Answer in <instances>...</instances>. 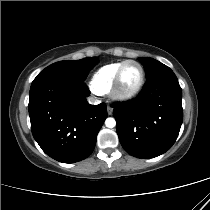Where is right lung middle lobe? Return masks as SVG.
Listing matches in <instances>:
<instances>
[{
    "label": "right lung middle lobe",
    "mask_w": 210,
    "mask_h": 210,
    "mask_svg": "<svg viewBox=\"0 0 210 210\" xmlns=\"http://www.w3.org/2000/svg\"><path fill=\"white\" fill-rule=\"evenodd\" d=\"M99 62L98 58L88 57L81 60L56 62L42 70L36 78L60 76L85 81L89 71Z\"/></svg>",
    "instance_id": "dd1d6c3e"
}]
</instances>
